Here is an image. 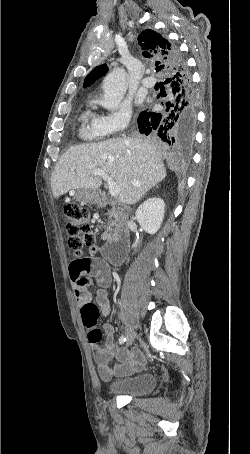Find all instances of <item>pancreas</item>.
<instances>
[{
	"instance_id": "obj_1",
	"label": "pancreas",
	"mask_w": 250,
	"mask_h": 454,
	"mask_svg": "<svg viewBox=\"0 0 250 454\" xmlns=\"http://www.w3.org/2000/svg\"><path fill=\"white\" fill-rule=\"evenodd\" d=\"M115 225V219L112 214L109 215L107 228L106 231L103 233V239L108 240L111 238L110 232L112 231V227Z\"/></svg>"
}]
</instances>
